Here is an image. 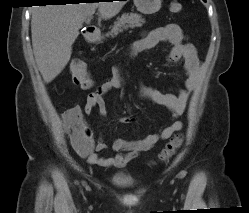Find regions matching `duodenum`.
Segmentation results:
<instances>
[{
	"mask_svg": "<svg viewBox=\"0 0 249 213\" xmlns=\"http://www.w3.org/2000/svg\"><path fill=\"white\" fill-rule=\"evenodd\" d=\"M98 30L95 26H91L86 30V40L89 43H95L97 40Z\"/></svg>",
	"mask_w": 249,
	"mask_h": 213,
	"instance_id": "410a0bca",
	"label": "duodenum"
}]
</instances>
